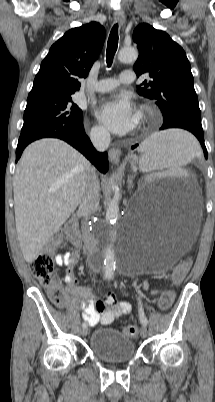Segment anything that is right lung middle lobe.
I'll return each instance as SVG.
<instances>
[{"instance_id": "1", "label": "right lung middle lobe", "mask_w": 215, "mask_h": 402, "mask_svg": "<svg viewBox=\"0 0 215 402\" xmlns=\"http://www.w3.org/2000/svg\"><path fill=\"white\" fill-rule=\"evenodd\" d=\"M83 124L80 108L71 94L45 93L28 96L24 124L18 145H25L41 135Z\"/></svg>"}]
</instances>
